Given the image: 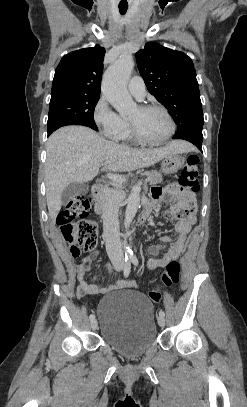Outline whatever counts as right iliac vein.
<instances>
[{
    "mask_svg": "<svg viewBox=\"0 0 247 407\" xmlns=\"http://www.w3.org/2000/svg\"><path fill=\"white\" fill-rule=\"evenodd\" d=\"M121 266L120 265H117L116 266V269L117 270H121ZM91 328L93 329V330H95L96 328H97V321H96V319H93L92 321H91Z\"/></svg>",
    "mask_w": 247,
    "mask_h": 407,
    "instance_id": "obj_1",
    "label": "right iliac vein"
}]
</instances>
